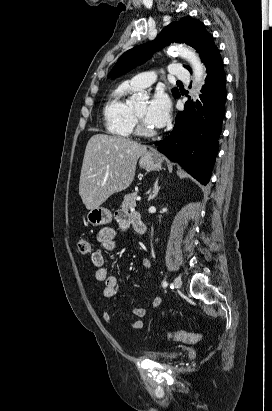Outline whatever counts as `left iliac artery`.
<instances>
[{
  "mask_svg": "<svg viewBox=\"0 0 272 411\" xmlns=\"http://www.w3.org/2000/svg\"><path fill=\"white\" fill-rule=\"evenodd\" d=\"M163 287H167V285H168V283H167V281H163Z\"/></svg>",
  "mask_w": 272,
  "mask_h": 411,
  "instance_id": "44dca946",
  "label": "left iliac artery"
}]
</instances>
